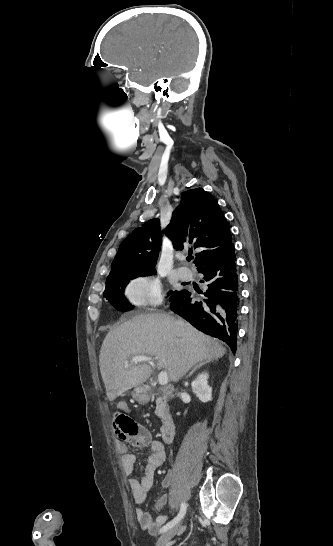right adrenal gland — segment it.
<instances>
[{
    "instance_id": "1",
    "label": "right adrenal gland",
    "mask_w": 333,
    "mask_h": 546,
    "mask_svg": "<svg viewBox=\"0 0 333 546\" xmlns=\"http://www.w3.org/2000/svg\"><path fill=\"white\" fill-rule=\"evenodd\" d=\"M209 362H210V360H207V361H204V362H201V363L197 364V365L191 370V372L188 374L187 378L190 377V376L193 374V372H195V370H197L198 368H200L201 366H203V365H205V364H207V363H209Z\"/></svg>"
}]
</instances>
